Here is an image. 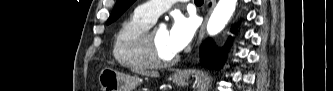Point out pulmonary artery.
Returning a JSON list of instances; mask_svg holds the SVG:
<instances>
[{
  "label": "pulmonary artery",
  "instance_id": "pulmonary-artery-1",
  "mask_svg": "<svg viewBox=\"0 0 333 91\" xmlns=\"http://www.w3.org/2000/svg\"><path fill=\"white\" fill-rule=\"evenodd\" d=\"M171 3H173V1H149L140 5L137 11L155 22L157 18L171 6Z\"/></svg>",
  "mask_w": 333,
  "mask_h": 91
}]
</instances>
